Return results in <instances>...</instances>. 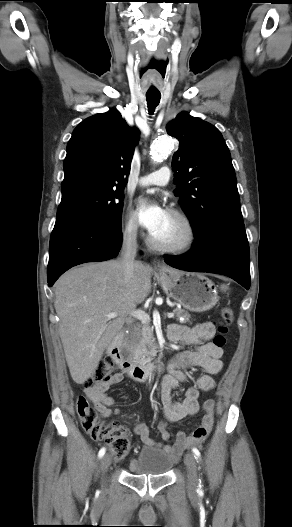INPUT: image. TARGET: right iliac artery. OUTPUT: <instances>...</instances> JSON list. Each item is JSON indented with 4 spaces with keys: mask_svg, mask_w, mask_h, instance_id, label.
<instances>
[{
    "mask_svg": "<svg viewBox=\"0 0 292 527\" xmlns=\"http://www.w3.org/2000/svg\"><path fill=\"white\" fill-rule=\"evenodd\" d=\"M105 452H106V449H105L104 447L101 448L100 451H99V453H98V457H99V458L103 457V455L105 454Z\"/></svg>",
    "mask_w": 292,
    "mask_h": 527,
    "instance_id": "1",
    "label": "right iliac artery"
}]
</instances>
